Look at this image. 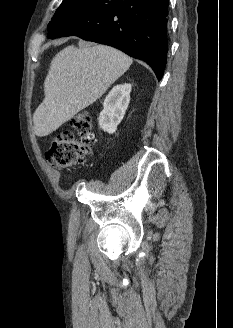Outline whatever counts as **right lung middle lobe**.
Returning <instances> with one entry per match:
<instances>
[{"mask_svg":"<svg viewBox=\"0 0 233 328\" xmlns=\"http://www.w3.org/2000/svg\"><path fill=\"white\" fill-rule=\"evenodd\" d=\"M94 0H63L60 7L57 9L52 21L49 23L48 28L58 20L80 10L81 8L89 5Z\"/></svg>","mask_w":233,"mask_h":328,"instance_id":"right-lung-middle-lobe-1","label":"right lung middle lobe"}]
</instances>
